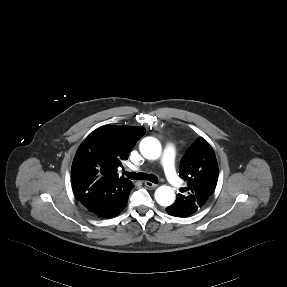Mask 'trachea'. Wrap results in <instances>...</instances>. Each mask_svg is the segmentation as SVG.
I'll use <instances>...</instances> for the list:
<instances>
[{
    "mask_svg": "<svg viewBox=\"0 0 287 287\" xmlns=\"http://www.w3.org/2000/svg\"><path fill=\"white\" fill-rule=\"evenodd\" d=\"M125 175L131 180H148L155 184L158 182V178L154 174H145L142 172H125Z\"/></svg>",
    "mask_w": 287,
    "mask_h": 287,
    "instance_id": "trachea-1",
    "label": "trachea"
}]
</instances>
